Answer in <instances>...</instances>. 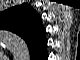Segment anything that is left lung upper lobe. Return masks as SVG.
I'll return each instance as SVG.
<instances>
[{"label": "left lung upper lobe", "mask_w": 80, "mask_h": 60, "mask_svg": "<svg viewBox=\"0 0 80 60\" xmlns=\"http://www.w3.org/2000/svg\"><path fill=\"white\" fill-rule=\"evenodd\" d=\"M0 28L10 30L22 37L28 45L30 54L39 51L40 46L35 45V41L44 35V28L39 15L30 5L24 3L2 12Z\"/></svg>", "instance_id": "left-lung-upper-lobe-1"}]
</instances>
